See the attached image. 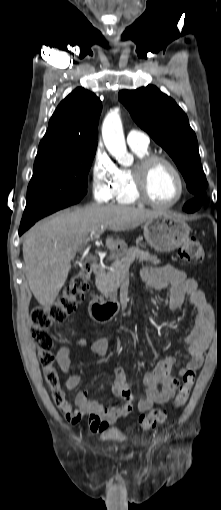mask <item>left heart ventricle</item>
Segmentation results:
<instances>
[{"label":"left heart ventricle","instance_id":"obj_1","mask_svg":"<svg viewBox=\"0 0 221 510\" xmlns=\"http://www.w3.org/2000/svg\"><path fill=\"white\" fill-rule=\"evenodd\" d=\"M147 188L150 197L156 202H170L179 193V183L176 175L164 163L156 164L149 175Z\"/></svg>","mask_w":221,"mask_h":510}]
</instances>
